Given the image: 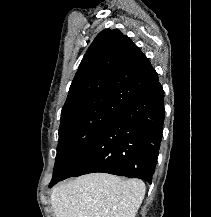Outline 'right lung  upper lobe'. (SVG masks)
Segmentation results:
<instances>
[{"mask_svg": "<svg viewBox=\"0 0 211 217\" xmlns=\"http://www.w3.org/2000/svg\"><path fill=\"white\" fill-rule=\"evenodd\" d=\"M158 82L148 58L132 40L117 29H105L79 65L61 111V123L89 113H118Z\"/></svg>", "mask_w": 211, "mask_h": 217, "instance_id": "obj_1", "label": "right lung upper lobe"}]
</instances>
